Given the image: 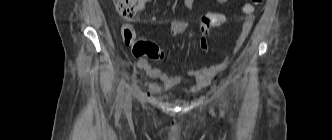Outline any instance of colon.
Here are the masks:
<instances>
[{
  "label": "colon",
  "instance_id": "5ec220e1",
  "mask_svg": "<svg viewBox=\"0 0 332 140\" xmlns=\"http://www.w3.org/2000/svg\"><path fill=\"white\" fill-rule=\"evenodd\" d=\"M116 10L120 16L129 19L134 17L143 8L147 0H113ZM263 0H250L244 7V11L250 14L254 8L260 5ZM225 21L223 15L215 12L207 13L202 17L198 25H194L186 20H174L170 23L169 31L173 36L186 34L190 31H196L206 35L212 29L221 26ZM124 42L131 46L135 56L146 57L151 60H160L163 58V51L159 46L150 41L138 39L134 30L130 26L123 28Z\"/></svg>",
  "mask_w": 332,
  "mask_h": 140
}]
</instances>
